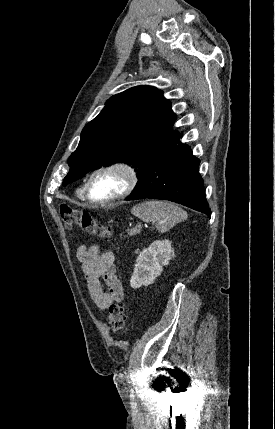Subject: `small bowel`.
Segmentation results:
<instances>
[{
    "mask_svg": "<svg viewBox=\"0 0 275 429\" xmlns=\"http://www.w3.org/2000/svg\"><path fill=\"white\" fill-rule=\"evenodd\" d=\"M77 257L82 264L90 297L98 309L106 310L112 304L123 300V286L117 276L112 252L101 253L97 245L80 246ZM101 279L104 280L107 290L104 289Z\"/></svg>",
    "mask_w": 275,
    "mask_h": 429,
    "instance_id": "small-bowel-1",
    "label": "small bowel"
}]
</instances>
